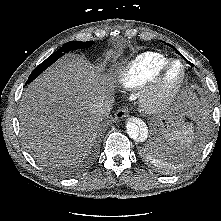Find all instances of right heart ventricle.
I'll use <instances>...</instances> for the list:
<instances>
[{
  "mask_svg": "<svg viewBox=\"0 0 221 221\" xmlns=\"http://www.w3.org/2000/svg\"><path fill=\"white\" fill-rule=\"evenodd\" d=\"M169 61L162 53L144 52L123 67L119 73V81L126 89H141L148 85Z\"/></svg>",
  "mask_w": 221,
  "mask_h": 221,
  "instance_id": "obj_1",
  "label": "right heart ventricle"
}]
</instances>
